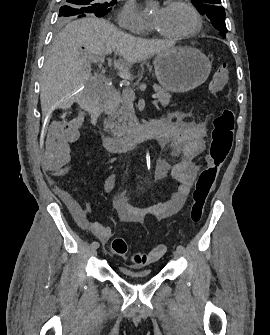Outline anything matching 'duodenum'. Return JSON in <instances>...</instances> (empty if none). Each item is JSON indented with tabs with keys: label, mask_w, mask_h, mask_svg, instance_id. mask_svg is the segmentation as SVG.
<instances>
[{
	"label": "duodenum",
	"mask_w": 270,
	"mask_h": 335,
	"mask_svg": "<svg viewBox=\"0 0 270 335\" xmlns=\"http://www.w3.org/2000/svg\"><path fill=\"white\" fill-rule=\"evenodd\" d=\"M104 104L103 111L105 119L102 127V141L105 149L110 153L125 152L140 142L147 139H158L161 134L160 122L157 120L147 121L138 126L132 133L124 137H115L110 131L111 116L117 111L120 103V93L114 87L105 84L103 86Z\"/></svg>",
	"instance_id": "410a0bca"
}]
</instances>
